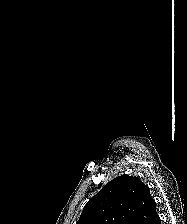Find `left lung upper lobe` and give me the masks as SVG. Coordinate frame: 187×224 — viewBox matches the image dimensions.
<instances>
[{"label":"left lung upper lobe","instance_id":"5c2ea615","mask_svg":"<svg viewBox=\"0 0 187 224\" xmlns=\"http://www.w3.org/2000/svg\"><path fill=\"white\" fill-rule=\"evenodd\" d=\"M157 217L149 187L138 177L122 175L87 202L76 224H152Z\"/></svg>","mask_w":187,"mask_h":224}]
</instances>
